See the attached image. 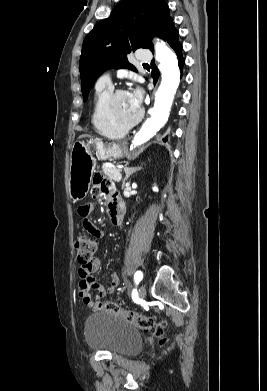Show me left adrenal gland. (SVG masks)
I'll list each match as a JSON object with an SVG mask.
<instances>
[{
    "instance_id": "left-adrenal-gland-1",
    "label": "left adrenal gland",
    "mask_w": 267,
    "mask_h": 391,
    "mask_svg": "<svg viewBox=\"0 0 267 391\" xmlns=\"http://www.w3.org/2000/svg\"><path fill=\"white\" fill-rule=\"evenodd\" d=\"M139 170H141V167H128V166H125L124 171H125L126 176H125V178H124V180H123V182H122V187L125 186V181H127L128 178H129L132 174H134L135 172H137V171H139Z\"/></svg>"
}]
</instances>
